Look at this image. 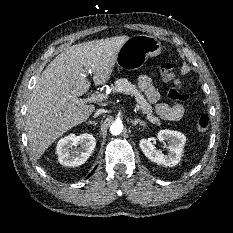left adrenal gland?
<instances>
[{"label":"left adrenal gland","instance_id":"left-adrenal-gland-1","mask_svg":"<svg viewBox=\"0 0 233 233\" xmlns=\"http://www.w3.org/2000/svg\"><path fill=\"white\" fill-rule=\"evenodd\" d=\"M131 123L132 125L136 126L137 124H140L141 126H145V122L140 120V119H134V120H131Z\"/></svg>","mask_w":233,"mask_h":233}]
</instances>
